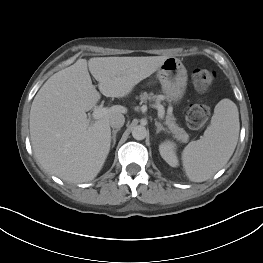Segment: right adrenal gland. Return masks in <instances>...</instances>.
Here are the masks:
<instances>
[{
    "label": "right adrenal gland",
    "instance_id": "right-adrenal-gland-1",
    "mask_svg": "<svg viewBox=\"0 0 263 263\" xmlns=\"http://www.w3.org/2000/svg\"><path fill=\"white\" fill-rule=\"evenodd\" d=\"M120 129H116V130H113L112 131V147H114L115 146V144H116V134H117V132L119 131Z\"/></svg>",
    "mask_w": 263,
    "mask_h": 263
}]
</instances>
